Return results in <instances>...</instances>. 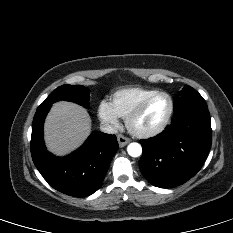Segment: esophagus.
I'll list each match as a JSON object with an SVG mask.
<instances>
[{
  "instance_id": "obj_1",
  "label": "esophagus",
  "mask_w": 233,
  "mask_h": 233,
  "mask_svg": "<svg viewBox=\"0 0 233 233\" xmlns=\"http://www.w3.org/2000/svg\"><path fill=\"white\" fill-rule=\"evenodd\" d=\"M117 140H118V143H119L120 147H124L125 145H127L130 142L129 138H127V137H125V136H123L121 134H119L117 136Z\"/></svg>"
}]
</instances>
